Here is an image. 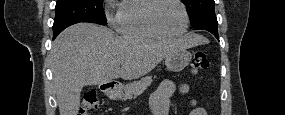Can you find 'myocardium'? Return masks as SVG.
Masks as SVG:
<instances>
[{
    "mask_svg": "<svg viewBox=\"0 0 285 115\" xmlns=\"http://www.w3.org/2000/svg\"><path fill=\"white\" fill-rule=\"evenodd\" d=\"M164 1H169V0H155L153 5L151 6L150 11H149V15H148V19H149L151 26L156 31H158L159 33L164 35L165 37H178V36L183 35L184 33L187 32V30L189 28V24H190L189 13H188V10H187L185 4L181 0H172V1L176 2L181 7L183 14H184V18H185L184 27L179 32L172 33V32H168L164 28H162L156 20V11H157L160 3L164 2Z\"/></svg>",
    "mask_w": 285,
    "mask_h": 115,
    "instance_id": "obj_1",
    "label": "myocardium"
}]
</instances>
